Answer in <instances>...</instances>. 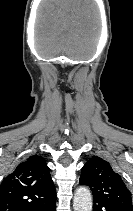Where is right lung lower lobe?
<instances>
[{"label": "right lung lower lobe", "mask_w": 133, "mask_h": 211, "mask_svg": "<svg viewBox=\"0 0 133 211\" xmlns=\"http://www.w3.org/2000/svg\"><path fill=\"white\" fill-rule=\"evenodd\" d=\"M34 211H55V198L48 203L38 206Z\"/></svg>", "instance_id": "98d812e1"}]
</instances>
